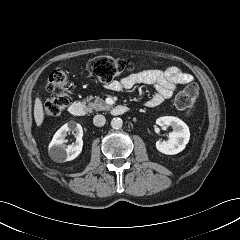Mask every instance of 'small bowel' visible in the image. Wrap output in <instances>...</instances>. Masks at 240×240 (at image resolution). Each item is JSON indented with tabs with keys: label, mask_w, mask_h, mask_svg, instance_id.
Returning a JSON list of instances; mask_svg holds the SVG:
<instances>
[{
	"label": "small bowel",
	"mask_w": 240,
	"mask_h": 240,
	"mask_svg": "<svg viewBox=\"0 0 240 240\" xmlns=\"http://www.w3.org/2000/svg\"><path fill=\"white\" fill-rule=\"evenodd\" d=\"M192 81L193 76L191 74L178 67H169L164 71L145 70L134 73L107 84L106 88L111 91H122L141 84L151 85L156 92L146 101L145 105L154 108L171 98L177 85L190 84Z\"/></svg>",
	"instance_id": "small-bowel-1"
}]
</instances>
